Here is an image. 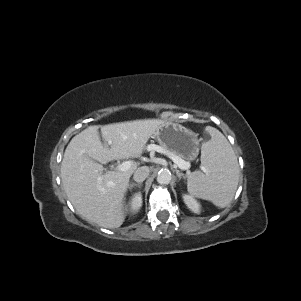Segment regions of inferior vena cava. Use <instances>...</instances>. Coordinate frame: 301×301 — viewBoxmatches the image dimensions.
<instances>
[{
	"instance_id": "1",
	"label": "inferior vena cava",
	"mask_w": 301,
	"mask_h": 301,
	"mask_svg": "<svg viewBox=\"0 0 301 301\" xmlns=\"http://www.w3.org/2000/svg\"><path fill=\"white\" fill-rule=\"evenodd\" d=\"M149 176V168L147 166L139 167L135 170L133 179L140 183L143 182Z\"/></svg>"
}]
</instances>
